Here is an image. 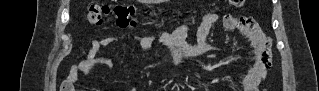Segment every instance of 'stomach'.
<instances>
[{"mask_svg": "<svg viewBox=\"0 0 319 91\" xmlns=\"http://www.w3.org/2000/svg\"><path fill=\"white\" fill-rule=\"evenodd\" d=\"M143 2H145V3H158V2H162V0H143Z\"/></svg>", "mask_w": 319, "mask_h": 91, "instance_id": "1", "label": "stomach"}]
</instances>
